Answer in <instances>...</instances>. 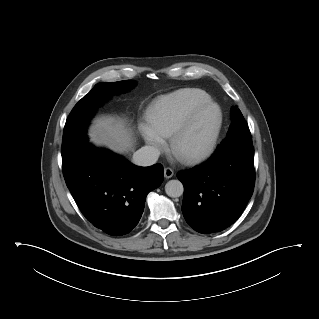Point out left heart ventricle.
Segmentation results:
<instances>
[{
	"label": "left heart ventricle",
	"instance_id": "left-heart-ventricle-1",
	"mask_svg": "<svg viewBox=\"0 0 319 319\" xmlns=\"http://www.w3.org/2000/svg\"><path fill=\"white\" fill-rule=\"evenodd\" d=\"M219 114L216 108L210 107L200 114L192 130L182 142L186 151H196L205 148L216 129Z\"/></svg>",
	"mask_w": 319,
	"mask_h": 319
}]
</instances>
